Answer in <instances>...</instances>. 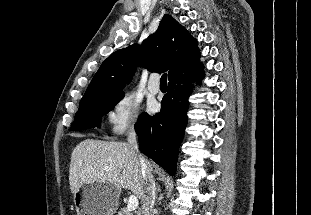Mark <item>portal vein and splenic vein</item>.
Wrapping results in <instances>:
<instances>
[{
	"mask_svg": "<svg viewBox=\"0 0 311 215\" xmlns=\"http://www.w3.org/2000/svg\"><path fill=\"white\" fill-rule=\"evenodd\" d=\"M138 199L135 196H130L127 204V210L133 211L138 208Z\"/></svg>",
	"mask_w": 311,
	"mask_h": 215,
	"instance_id": "portal-vein-and-splenic-vein-1",
	"label": "portal vein and splenic vein"
}]
</instances>
